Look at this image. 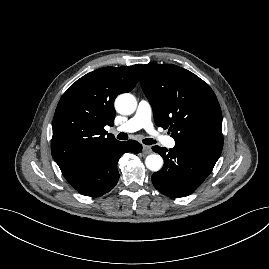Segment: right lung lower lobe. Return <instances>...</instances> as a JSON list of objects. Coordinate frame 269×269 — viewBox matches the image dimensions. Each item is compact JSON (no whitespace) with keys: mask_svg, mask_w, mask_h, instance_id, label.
<instances>
[{"mask_svg":"<svg viewBox=\"0 0 269 269\" xmlns=\"http://www.w3.org/2000/svg\"><path fill=\"white\" fill-rule=\"evenodd\" d=\"M142 145L134 140L117 141L61 170L66 180L81 194L99 197L115 187L119 180L117 163L125 152L139 153Z\"/></svg>","mask_w":269,"mask_h":269,"instance_id":"right-lung-lower-lobe-1","label":"right lung lower lobe"}]
</instances>
